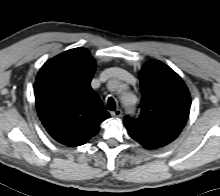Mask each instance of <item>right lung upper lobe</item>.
<instances>
[{
    "label": "right lung upper lobe",
    "mask_w": 220,
    "mask_h": 196,
    "mask_svg": "<svg viewBox=\"0 0 220 196\" xmlns=\"http://www.w3.org/2000/svg\"><path fill=\"white\" fill-rule=\"evenodd\" d=\"M94 70L89 51L75 48L48 60L37 75V112L48 133L59 143L85 144L110 117L90 87Z\"/></svg>",
    "instance_id": "right-lung-upper-lobe-1"
}]
</instances>
